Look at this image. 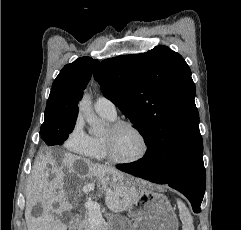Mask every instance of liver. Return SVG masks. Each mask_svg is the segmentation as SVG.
I'll use <instances>...</instances> for the list:
<instances>
[{"mask_svg":"<svg viewBox=\"0 0 241 230\" xmlns=\"http://www.w3.org/2000/svg\"><path fill=\"white\" fill-rule=\"evenodd\" d=\"M41 159L26 190L25 220L28 230H67V225L56 219L54 213L71 210L72 205L67 199L77 194L80 189L86 191L89 186L94 188L95 183L102 187L105 203L114 213L128 210L140 194L139 181L133 178L126 180L122 172L112 167L89 162L69 152H65L60 159L43 155ZM80 161L85 163L83 173L76 165ZM47 164H50L51 168H48ZM51 175L53 179L49 181ZM73 176L78 178L75 191L66 190L65 178ZM55 202L59 203L57 209L53 208ZM38 203L41 204L42 213L35 217L32 210Z\"/></svg>","mask_w":241,"mask_h":230,"instance_id":"obj_1","label":"liver"}]
</instances>
